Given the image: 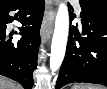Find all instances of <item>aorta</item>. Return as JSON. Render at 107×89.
Masks as SVG:
<instances>
[{"instance_id":"1","label":"aorta","mask_w":107,"mask_h":89,"mask_svg":"<svg viewBox=\"0 0 107 89\" xmlns=\"http://www.w3.org/2000/svg\"><path fill=\"white\" fill-rule=\"evenodd\" d=\"M69 32V13L66 3L61 2L55 20L50 53V69L57 71L64 59Z\"/></svg>"}]
</instances>
